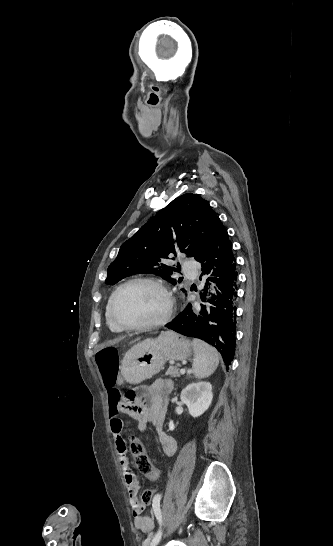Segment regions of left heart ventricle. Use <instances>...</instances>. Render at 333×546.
Instances as JSON below:
<instances>
[{"label": "left heart ventricle", "mask_w": 333, "mask_h": 546, "mask_svg": "<svg viewBox=\"0 0 333 546\" xmlns=\"http://www.w3.org/2000/svg\"><path fill=\"white\" fill-rule=\"evenodd\" d=\"M166 306V298L158 287L147 283H134L118 294L115 314L121 323L137 325L160 318Z\"/></svg>", "instance_id": "b2bd125f"}]
</instances>
